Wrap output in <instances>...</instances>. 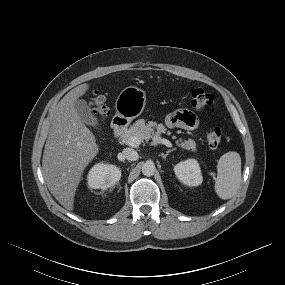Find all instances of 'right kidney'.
Masks as SVG:
<instances>
[{
	"instance_id": "right-kidney-1",
	"label": "right kidney",
	"mask_w": 285,
	"mask_h": 285,
	"mask_svg": "<svg viewBox=\"0 0 285 285\" xmlns=\"http://www.w3.org/2000/svg\"><path fill=\"white\" fill-rule=\"evenodd\" d=\"M121 178V169L112 164L98 163L88 173L87 184L91 189L106 190Z\"/></svg>"
}]
</instances>
